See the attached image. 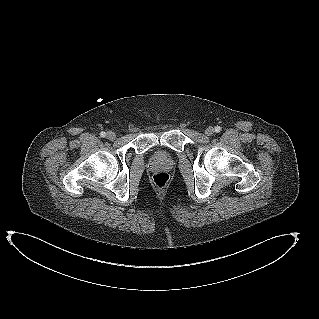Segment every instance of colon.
Returning <instances> with one entry per match:
<instances>
[{"label":"colon","instance_id":"1","mask_svg":"<svg viewBox=\"0 0 319 319\" xmlns=\"http://www.w3.org/2000/svg\"><path fill=\"white\" fill-rule=\"evenodd\" d=\"M153 183L158 188H164L170 180V175L167 172L159 171L153 175Z\"/></svg>","mask_w":319,"mask_h":319}]
</instances>
